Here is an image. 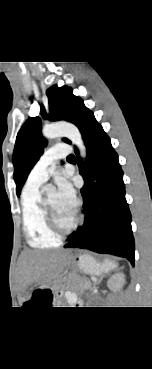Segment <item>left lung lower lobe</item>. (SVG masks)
<instances>
[{
	"mask_svg": "<svg viewBox=\"0 0 152 369\" xmlns=\"http://www.w3.org/2000/svg\"><path fill=\"white\" fill-rule=\"evenodd\" d=\"M87 148V163L78 156L85 221L70 235L65 248L78 247L117 255L134 266L135 244L131 213L125 199L123 171L110 138L92 114L81 129ZM78 155V150L75 148Z\"/></svg>",
	"mask_w": 152,
	"mask_h": 369,
	"instance_id": "0a47b994",
	"label": "left lung lower lobe"
}]
</instances>
